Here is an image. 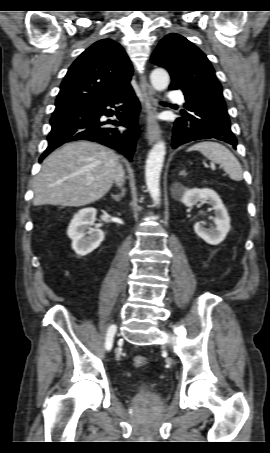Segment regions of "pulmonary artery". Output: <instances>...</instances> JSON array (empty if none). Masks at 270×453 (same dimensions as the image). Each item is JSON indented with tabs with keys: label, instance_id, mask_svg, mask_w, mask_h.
Returning a JSON list of instances; mask_svg holds the SVG:
<instances>
[{
	"label": "pulmonary artery",
	"instance_id": "obj_1",
	"mask_svg": "<svg viewBox=\"0 0 270 453\" xmlns=\"http://www.w3.org/2000/svg\"><path fill=\"white\" fill-rule=\"evenodd\" d=\"M169 98H170L171 100H176V101H179V102H184V97H183L182 93L179 92V91H175V90L170 91V93H169Z\"/></svg>",
	"mask_w": 270,
	"mask_h": 453
}]
</instances>
